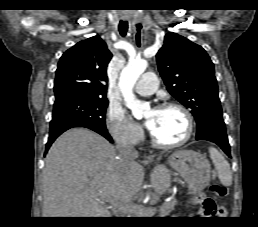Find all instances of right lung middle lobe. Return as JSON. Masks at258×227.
<instances>
[{
    "label": "right lung middle lobe",
    "instance_id": "right-lung-middle-lobe-1",
    "mask_svg": "<svg viewBox=\"0 0 258 227\" xmlns=\"http://www.w3.org/2000/svg\"><path fill=\"white\" fill-rule=\"evenodd\" d=\"M108 106L106 98L93 97L77 93L56 95L54 119H66L96 130H106L105 112Z\"/></svg>",
    "mask_w": 258,
    "mask_h": 227
}]
</instances>
